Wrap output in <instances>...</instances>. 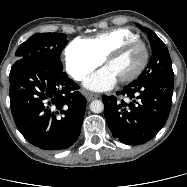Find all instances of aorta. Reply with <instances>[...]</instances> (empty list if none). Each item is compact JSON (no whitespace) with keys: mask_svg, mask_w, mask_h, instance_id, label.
Segmentation results:
<instances>
[{"mask_svg":"<svg viewBox=\"0 0 187 187\" xmlns=\"http://www.w3.org/2000/svg\"><path fill=\"white\" fill-rule=\"evenodd\" d=\"M90 110L93 113H101L104 110V104L101 100H94L90 103Z\"/></svg>","mask_w":187,"mask_h":187,"instance_id":"aorta-1","label":"aorta"}]
</instances>
